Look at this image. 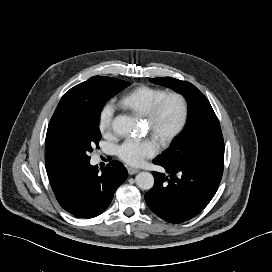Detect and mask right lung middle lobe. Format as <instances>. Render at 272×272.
<instances>
[{
    "instance_id": "1",
    "label": "right lung middle lobe",
    "mask_w": 272,
    "mask_h": 272,
    "mask_svg": "<svg viewBox=\"0 0 272 272\" xmlns=\"http://www.w3.org/2000/svg\"><path fill=\"white\" fill-rule=\"evenodd\" d=\"M127 85V81L108 77L88 105L59 122L53 132V145L63 160L68 163L90 160L93 147H98L101 139L99 117L102 107Z\"/></svg>"
}]
</instances>
